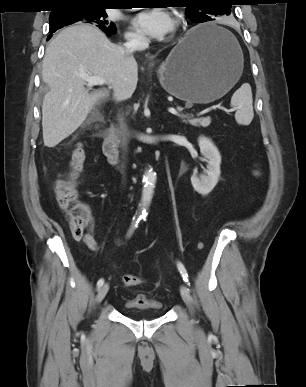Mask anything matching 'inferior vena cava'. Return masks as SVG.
Masks as SVG:
<instances>
[{
    "label": "inferior vena cava",
    "instance_id": "obj_1",
    "mask_svg": "<svg viewBox=\"0 0 306 387\" xmlns=\"http://www.w3.org/2000/svg\"><path fill=\"white\" fill-rule=\"evenodd\" d=\"M148 45V40L145 37L132 36L128 38L127 42L124 44V47L128 53L132 54L135 51H141L147 48ZM132 93L133 91L131 89L123 87L115 93V99L117 101L126 100L131 97Z\"/></svg>",
    "mask_w": 306,
    "mask_h": 387
}]
</instances>
